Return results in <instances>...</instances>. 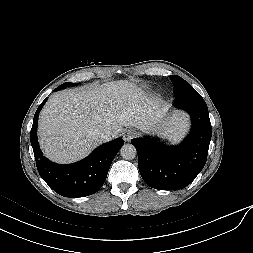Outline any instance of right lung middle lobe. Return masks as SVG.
<instances>
[{
    "instance_id": "right-lung-middle-lobe-1",
    "label": "right lung middle lobe",
    "mask_w": 253,
    "mask_h": 253,
    "mask_svg": "<svg viewBox=\"0 0 253 253\" xmlns=\"http://www.w3.org/2000/svg\"><path fill=\"white\" fill-rule=\"evenodd\" d=\"M74 85H77V83H69V82H66L62 85L59 86L60 89L66 87V86H74Z\"/></svg>"
}]
</instances>
